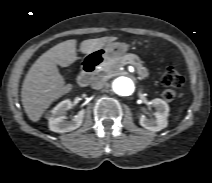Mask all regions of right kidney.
Here are the masks:
<instances>
[{"label":"right kidney","mask_w":212,"mask_h":183,"mask_svg":"<svg viewBox=\"0 0 212 183\" xmlns=\"http://www.w3.org/2000/svg\"><path fill=\"white\" fill-rule=\"evenodd\" d=\"M72 102L66 99L56 105L53 110H51L49 115V129L53 132L64 133L77 129L81 126L84 118V110H81L77 115H75L70 121L66 119V110L70 109Z\"/></svg>","instance_id":"1"}]
</instances>
